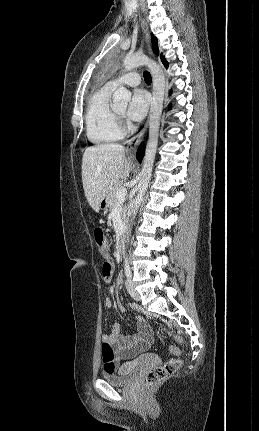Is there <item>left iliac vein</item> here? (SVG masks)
Masks as SVG:
<instances>
[{"label": "left iliac vein", "instance_id": "4c4485c4", "mask_svg": "<svg viewBox=\"0 0 259 431\" xmlns=\"http://www.w3.org/2000/svg\"><path fill=\"white\" fill-rule=\"evenodd\" d=\"M126 288L130 294V296L134 299V300H140V294L136 291L135 286L133 285L132 281L130 278L127 279L126 281Z\"/></svg>", "mask_w": 259, "mask_h": 431}]
</instances>
